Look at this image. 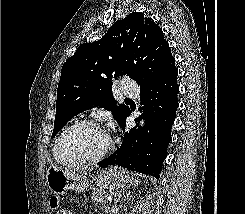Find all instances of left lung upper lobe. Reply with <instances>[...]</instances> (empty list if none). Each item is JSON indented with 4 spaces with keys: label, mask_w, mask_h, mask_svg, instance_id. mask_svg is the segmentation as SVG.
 <instances>
[{
    "label": "left lung upper lobe",
    "mask_w": 245,
    "mask_h": 214,
    "mask_svg": "<svg viewBox=\"0 0 245 214\" xmlns=\"http://www.w3.org/2000/svg\"><path fill=\"white\" fill-rule=\"evenodd\" d=\"M173 64L169 44L154 20L136 12L118 20L100 40L80 45L64 63L52 138L71 118L97 105L112 111L121 125L130 109L117 105L112 80L129 76L141 90Z\"/></svg>",
    "instance_id": "1"
}]
</instances>
